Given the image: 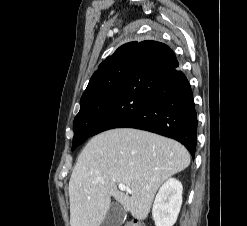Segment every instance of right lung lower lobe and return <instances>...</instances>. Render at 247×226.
<instances>
[{"instance_id": "98d812e1", "label": "right lung lower lobe", "mask_w": 247, "mask_h": 226, "mask_svg": "<svg viewBox=\"0 0 247 226\" xmlns=\"http://www.w3.org/2000/svg\"><path fill=\"white\" fill-rule=\"evenodd\" d=\"M122 127L173 138L194 158L197 114L192 90L164 43L147 40L134 47L119 89L91 136Z\"/></svg>"}]
</instances>
